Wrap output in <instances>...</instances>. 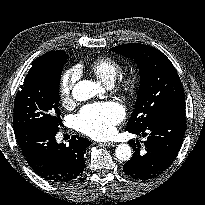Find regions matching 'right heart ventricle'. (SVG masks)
Returning a JSON list of instances; mask_svg holds the SVG:
<instances>
[{"mask_svg":"<svg viewBox=\"0 0 205 205\" xmlns=\"http://www.w3.org/2000/svg\"><path fill=\"white\" fill-rule=\"evenodd\" d=\"M90 70L104 83L111 84L119 75L121 64L112 57H98L91 62Z\"/></svg>","mask_w":205,"mask_h":205,"instance_id":"right-heart-ventricle-1","label":"right heart ventricle"}]
</instances>
